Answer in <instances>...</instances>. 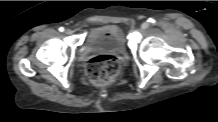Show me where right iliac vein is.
<instances>
[{
	"instance_id": "1",
	"label": "right iliac vein",
	"mask_w": 218,
	"mask_h": 122,
	"mask_svg": "<svg viewBox=\"0 0 218 122\" xmlns=\"http://www.w3.org/2000/svg\"><path fill=\"white\" fill-rule=\"evenodd\" d=\"M65 34H66V35H70V34H72V31H71L70 29H66V30H65Z\"/></svg>"
}]
</instances>
